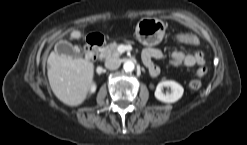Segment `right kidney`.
Returning a JSON list of instances; mask_svg holds the SVG:
<instances>
[{"label": "right kidney", "instance_id": "1", "mask_svg": "<svg viewBox=\"0 0 247 145\" xmlns=\"http://www.w3.org/2000/svg\"><path fill=\"white\" fill-rule=\"evenodd\" d=\"M90 90H91V92H95V90H96V85H95V84L91 85Z\"/></svg>", "mask_w": 247, "mask_h": 145}]
</instances>
